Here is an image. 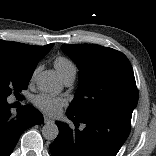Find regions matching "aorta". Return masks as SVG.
I'll return each mask as SVG.
<instances>
[{
	"instance_id": "1",
	"label": "aorta",
	"mask_w": 156,
	"mask_h": 156,
	"mask_svg": "<svg viewBox=\"0 0 156 156\" xmlns=\"http://www.w3.org/2000/svg\"><path fill=\"white\" fill-rule=\"evenodd\" d=\"M37 86L43 92L53 93L61 90V82L53 72L43 71L37 76ZM59 134V129L54 122H47L42 127V135L46 140H55Z\"/></svg>"
}]
</instances>
